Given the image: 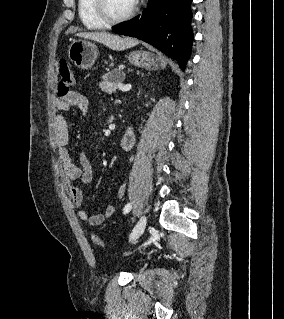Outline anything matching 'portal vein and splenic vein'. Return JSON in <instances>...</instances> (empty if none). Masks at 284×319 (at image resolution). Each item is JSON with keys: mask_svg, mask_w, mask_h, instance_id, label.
<instances>
[{"mask_svg": "<svg viewBox=\"0 0 284 319\" xmlns=\"http://www.w3.org/2000/svg\"><path fill=\"white\" fill-rule=\"evenodd\" d=\"M119 88H120L121 91L127 92V91H129L132 88V86H131V84H127V85L120 84Z\"/></svg>", "mask_w": 284, "mask_h": 319, "instance_id": "18ae733b", "label": "portal vein and splenic vein"}]
</instances>
